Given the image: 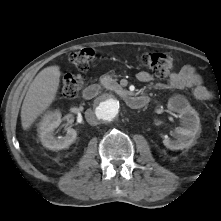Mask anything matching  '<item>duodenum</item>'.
<instances>
[{
  "mask_svg": "<svg viewBox=\"0 0 221 221\" xmlns=\"http://www.w3.org/2000/svg\"><path fill=\"white\" fill-rule=\"evenodd\" d=\"M100 91L101 86L97 83H93L84 90L83 95L85 99L91 100L95 98ZM125 101L131 108L138 109L144 107L149 102V98L147 96L126 95Z\"/></svg>",
  "mask_w": 221,
  "mask_h": 221,
  "instance_id": "obj_1",
  "label": "duodenum"
}]
</instances>
